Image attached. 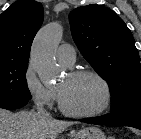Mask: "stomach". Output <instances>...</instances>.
<instances>
[{
  "mask_svg": "<svg viewBox=\"0 0 141 139\" xmlns=\"http://www.w3.org/2000/svg\"><path fill=\"white\" fill-rule=\"evenodd\" d=\"M74 139H106V137L98 127L91 126L77 132Z\"/></svg>",
  "mask_w": 141,
  "mask_h": 139,
  "instance_id": "obj_1",
  "label": "stomach"
}]
</instances>
